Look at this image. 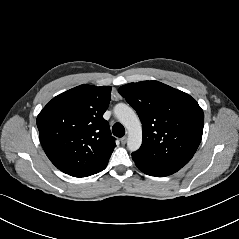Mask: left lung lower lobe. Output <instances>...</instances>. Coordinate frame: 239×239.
Listing matches in <instances>:
<instances>
[{
    "mask_svg": "<svg viewBox=\"0 0 239 239\" xmlns=\"http://www.w3.org/2000/svg\"><path fill=\"white\" fill-rule=\"evenodd\" d=\"M136 166L145 174L151 175V176H156V177H163V176H168L173 173L166 172L164 170H161L159 168L153 167L151 165H148L144 162L139 161L136 159L134 156H132Z\"/></svg>",
    "mask_w": 239,
    "mask_h": 239,
    "instance_id": "obj_1",
    "label": "left lung lower lobe"
}]
</instances>
